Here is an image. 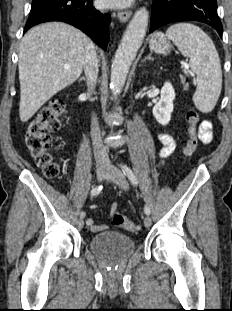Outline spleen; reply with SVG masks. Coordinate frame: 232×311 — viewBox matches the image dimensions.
I'll use <instances>...</instances> for the list:
<instances>
[{"instance_id":"3e777b00","label":"spleen","mask_w":232,"mask_h":311,"mask_svg":"<svg viewBox=\"0 0 232 311\" xmlns=\"http://www.w3.org/2000/svg\"><path fill=\"white\" fill-rule=\"evenodd\" d=\"M166 36L182 55L190 59V68L196 75L195 106L202 113L211 112L222 88L221 63L213 41L200 27L191 23L172 25Z\"/></svg>"}]
</instances>
